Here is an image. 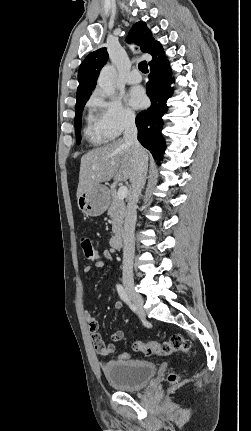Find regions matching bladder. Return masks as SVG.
Here are the masks:
<instances>
[{"instance_id":"bladder-1","label":"bladder","mask_w":251,"mask_h":431,"mask_svg":"<svg viewBox=\"0 0 251 431\" xmlns=\"http://www.w3.org/2000/svg\"><path fill=\"white\" fill-rule=\"evenodd\" d=\"M102 372L111 387L133 392L143 388L152 379L156 366L147 360H111L102 366Z\"/></svg>"}]
</instances>
